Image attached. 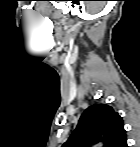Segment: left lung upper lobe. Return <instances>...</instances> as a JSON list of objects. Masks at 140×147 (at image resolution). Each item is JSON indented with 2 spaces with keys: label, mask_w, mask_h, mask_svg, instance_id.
Returning <instances> with one entry per match:
<instances>
[{
  "label": "left lung upper lobe",
  "mask_w": 140,
  "mask_h": 147,
  "mask_svg": "<svg viewBox=\"0 0 140 147\" xmlns=\"http://www.w3.org/2000/svg\"><path fill=\"white\" fill-rule=\"evenodd\" d=\"M93 142H104L105 147L127 146L123 120L109 105L95 104L87 108L63 147H89Z\"/></svg>",
  "instance_id": "5c2ea615"
}]
</instances>
